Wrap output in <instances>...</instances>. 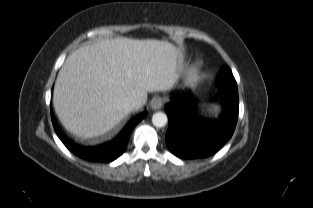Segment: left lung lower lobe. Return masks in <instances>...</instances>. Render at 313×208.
<instances>
[{
  "label": "left lung lower lobe",
  "mask_w": 313,
  "mask_h": 208,
  "mask_svg": "<svg viewBox=\"0 0 313 208\" xmlns=\"http://www.w3.org/2000/svg\"><path fill=\"white\" fill-rule=\"evenodd\" d=\"M221 85L223 109L217 118L200 116L190 94L176 95L165 106L169 119L166 143L180 158L208 157L217 152L232 136L238 119V90L234 80H217Z\"/></svg>",
  "instance_id": "1"
}]
</instances>
